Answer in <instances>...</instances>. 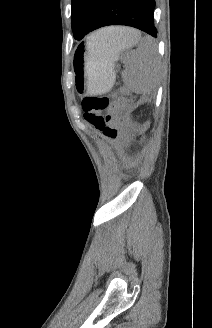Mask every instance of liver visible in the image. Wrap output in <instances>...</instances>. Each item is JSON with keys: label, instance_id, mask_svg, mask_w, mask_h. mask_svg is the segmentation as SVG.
I'll return each mask as SVG.
<instances>
[{"label": "liver", "instance_id": "obj_1", "mask_svg": "<svg viewBox=\"0 0 212 328\" xmlns=\"http://www.w3.org/2000/svg\"><path fill=\"white\" fill-rule=\"evenodd\" d=\"M106 34L110 46L115 48H122L133 44L139 35L136 30L126 27H110L107 29Z\"/></svg>", "mask_w": 212, "mask_h": 328}]
</instances>
